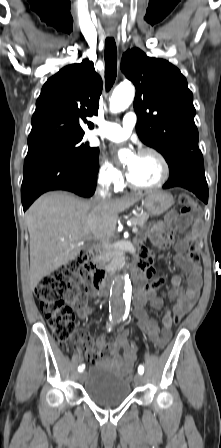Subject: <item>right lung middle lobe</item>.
<instances>
[{
	"instance_id": "obj_1",
	"label": "right lung middle lobe",
	"mask_w": 221,
	"mask_h": 448,
	"mask_svg": "<svg viewBox=\"0 0 221 448\" xmlns=\"http://www.w3.org/2000/svg\"><path fill=\"white\" fill-rule=\"evenodd\" d=\"M83 135L69 137L41 144L28 149L27 155L51 153L67 157L81 164H89L98 160L99 149L82 142Z\"/></svg>"
}]
</instances>
